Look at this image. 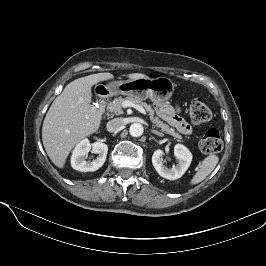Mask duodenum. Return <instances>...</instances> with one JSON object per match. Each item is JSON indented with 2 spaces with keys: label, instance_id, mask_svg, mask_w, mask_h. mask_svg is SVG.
<instances>
[{
  "label": "duodenum",
  "instance_id": "obj_1",
  "mask_svg": "<svg viewBox=\"0 0 266 266\" xmlns=\"http://www.w3.org/2000/svg\"><path fill=\"white\" fill-rule=\"evenodd\" d=\"M108 94H109V92L107 90H104V89L98 91V93H97V101L99 102L101 110L103 109V106H104L105 101L108 97Z\"/></svg>",
  "mask_w": 266,
  "mask_h": 266
}]
</instances>
